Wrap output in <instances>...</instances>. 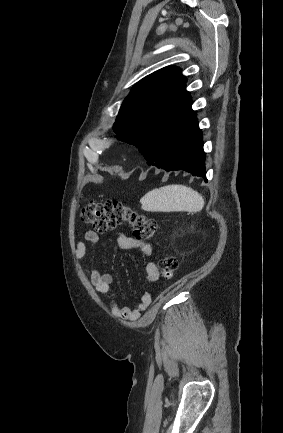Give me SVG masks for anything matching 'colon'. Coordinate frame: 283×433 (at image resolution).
I'll use <instances>...</instances> for the list:
<instances>
[{"label":"colon","instance_id":"1","mask_svg":"<svg viewBox=\"0 0 283 433\" xmlns=\"http://www.w3.org/2000/svg\"><path fill=\"white\" fill-rule=\"evenodd\" d=\"M80 217L85 224L98 232H105L121 224H127L133 236L138 240L150 239L159 233L156 220L118 200L91 201L82 208ZM177 268L178 260L173 255H167L159 262L160 276L165 279L173 277Z\"/></svg>","mask_w":283,"mask_h":433}]
</instances>
